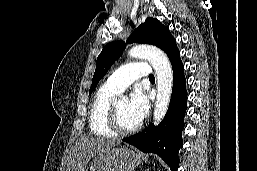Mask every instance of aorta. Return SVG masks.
I'll return each mask as SVG.
<instances>
[{"label":"aorta","mask_w":257,"mask_h":171,"mask_svg":"<svg viewBox=\"0 0 257 171\" xmlns=\"http://www.w3.org/2000/svg\"><path fill=\"white\" fill-rule=\"evenodd\" d=\"M128 55L133 58L148 60L157 76V96L154 108V123L158 125L164 118L172 92L173 73L170 61L163 51L150 45H137L131 48ZM123 100H126L123 97Z\"/></svg>","instance_id":"1"}]
</instances>
